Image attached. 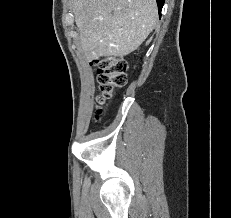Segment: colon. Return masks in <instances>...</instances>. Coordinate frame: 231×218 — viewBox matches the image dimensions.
<instances>
[{"label": "colon", "instance_id": "5ec220e1", "mask_svg": "<svg viewBox=\"0 0 231 218\" xmlns=\"http://www.w3.org/2000/svg\"><path fill=\"white\" fill-rule=\"evenodd\" d=\"M92 65L98 72L100 103L111 98L116 89L125 85L127 81V62L120 56L99 57L92 60ZM102 110L98 108L96 119H99Z\"/></svg>", "mask_w": 231, "mask_h": 218}]
</instances>
